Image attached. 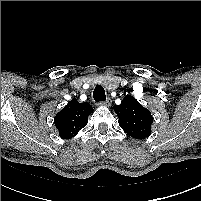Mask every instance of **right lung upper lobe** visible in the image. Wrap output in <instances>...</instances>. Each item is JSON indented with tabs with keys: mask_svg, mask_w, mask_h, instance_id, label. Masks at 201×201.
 <instances>
[{
	"mask_svg": "<svg viewBox=\"0 0 201 201\" xmlns=\"http://www.w3.org/2000/svg\"><path fill=\"white\" fill-rule=\"evenodd\" d=\"M93 108L88 103H79L72 99L54 118V123L63 139L74 137L87 125L88 116Z\"/></svg>",
	"mask_w": 201,
	"mask_h": 201,
	"instance_id": "1",
	"label": "right lung upper lobe"
}]
</instances>
